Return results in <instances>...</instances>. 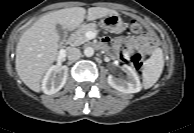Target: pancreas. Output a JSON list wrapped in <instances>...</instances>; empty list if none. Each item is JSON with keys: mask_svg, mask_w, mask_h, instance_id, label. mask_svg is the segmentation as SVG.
<instances>
[{"mask_svg": "<svg viewBox=\"0 0 194 133\" xmlns=\"http://www.w3.org/2000/svg\"><path fill=\"white\" fill-rule=\"evenodd\" d=\"M88 31H93L97 33L99 30L97 29V25L95 23L83 25L78 30L71 34L69 38L70 44L72 46H79L89 42L85 35Z\"/></svg>", "mask_w": 194, "mask_h": 133, "instance_id": "cf45deb5", "label": "pancreas"}]
</instances>
